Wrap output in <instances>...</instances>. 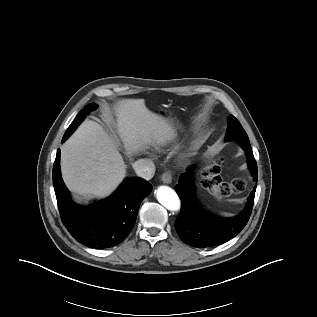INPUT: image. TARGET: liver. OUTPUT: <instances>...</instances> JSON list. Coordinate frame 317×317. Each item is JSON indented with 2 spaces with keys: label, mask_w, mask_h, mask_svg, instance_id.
Wrapping results in <instances>:
<instances>
[{
  "label": "liver",
  "mask_w": 317,
  "mask_h": 317,
  "mask_svg": "<svg viewBox=\"0 0 317 317\" xmlns=\"http://www.w3.org/2000/svg\"><path fill=\"white\" fill-rule=\"evenodd\" d=\"M114 114L116 131L129 155L171 139L166 120L150 111L144 99H122L114 105ZM61 171L72 192L103 198L122 182L126 164L115 139L101 125L87 120L61 146Z\"/></svg>",
  "instance_id": "liver-1"
}]
</instances>
